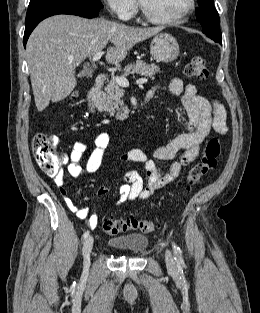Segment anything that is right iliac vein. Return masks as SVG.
<instances>
[{
  "label": "right iliac vein",
  "instance_id": "1",
  "mask_svg": "<svg viewBox=\"0 0 260 313\" xmlns=\"http://www.w3.org/2000/svg\"><path fill=\"white\" fill-rule=\"evenodd\" d=\"M93 248V237L89 236L84 242L83 245V275L87 276L89 273L90 267V254Z\"/></svg>",
  "mask_w": 260,
  "mask_h": 313
}]
</instances>
